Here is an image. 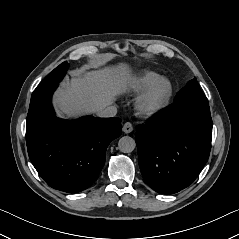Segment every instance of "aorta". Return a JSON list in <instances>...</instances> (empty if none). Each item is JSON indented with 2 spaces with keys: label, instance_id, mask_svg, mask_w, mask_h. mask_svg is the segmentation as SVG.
Listing matches in <instances>:
<instances>
[{
  "label": "aorta",
  "instance_id": "1",
  "mask_svg": "<svg viewBox=\"0 0 239 239\" xmlns=\"http://www.w3.org/2000/svg\"><path fill=\"white\" fill-rule=\"evenodd\" d=\"M136 147L135 140L130 136H123L119 139L118 148L123 153H131Z\"/></svg>",
  "mask_w": 239,
  "mask_h": 239
}]
</instances>
